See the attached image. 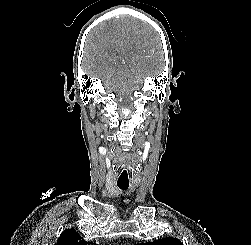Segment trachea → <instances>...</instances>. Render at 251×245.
<instances>
[{
	"label": "trachea",
	"instance_id": "obj_1",
	"mask_svg": "<svg viewBox=\"0 0 251 245\" xmlns=\"http://www.w3.org/2000/svg\"><path fill=\"white\" fill-rule=\"evenodd\" d=\"M117 186L122 190H126L129 187V183H117Z\"/></svg>",
	"mask_w": 251,
	"mask_h": 245
}]
</instances>
